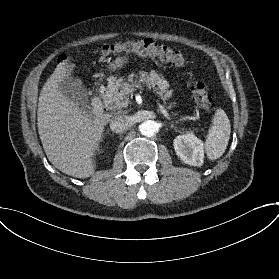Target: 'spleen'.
<instances>
[{"label": "spleen", "instance_id": "3e777b00", "mask_svg": "<svg viewBox=\"0 0 279 279\" xmlns=\"http://www.w3.org/2000/svg\"><path fill=\"white\" fill-rule=\"evenodd\" d=\"M230 123L223 109H217L205 142V152L209 160L219 159L225 152L230 139Z\"/></svg>", "mask_w": 279, "mask_h": 279}]
</instances>
